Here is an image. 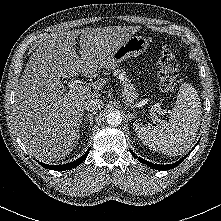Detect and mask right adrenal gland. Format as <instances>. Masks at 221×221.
<instances>
[{
    "label": "right adrenal gland",
    "mask_w": 221,
    "mask_h": 221,
    "mask_svg": "<svg viewBox=\"0 0 221 221\" xmlns=\"http://www.w3.org/2000/svg\"><path fill=\"white\" fill-rule=\"evenodd\" d=\"M95 114H96V112H92V113L88 114L87 116H85V118L83 119L84 122L81 125V127H84L88 120H89V126H92L93 117Z\"/></svg>",
    "instance_id": "obj_1"
}]
</instances>
